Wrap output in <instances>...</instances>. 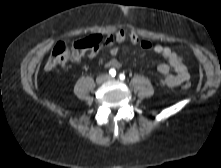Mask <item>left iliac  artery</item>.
<instances>
[{
  "label": "left iliac artery",
  "mask_w": 221,
  "mask_h": 168,
  "mask_svg": "<svg viewBox=\"0 0 221 168\" xmlns=\"http://www.w3.org/2000/svg\"><path fill=\"white\" fill-rule=\"evenodd\" d=\"M119 79L122 80V81L125 80V75L124 74H120L119 75Z\"/></svg>",
  "instance_id": "44dca946"
}]
</instances>
